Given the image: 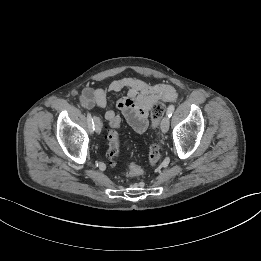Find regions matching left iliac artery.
Instances as JSON below:
<instances>
[{
  "mask_svg": "<svg viewBox=\"0 0 261 261\" xmlns=\"http://www.w3.org/2000/svg\"><path fill=\"white\" fill-rule=\"evenodd\" d=\"M174 109H175V106H174V105H170V106L168 107L166 114H167V116H168L169 118L172 116V114H173V112H174Z\"/></svg>",
  "mask_w": 261,
  "mask_h": 261,
  "instance_id": "1",
  "label": "left iliac artery"
}]
</instances>
